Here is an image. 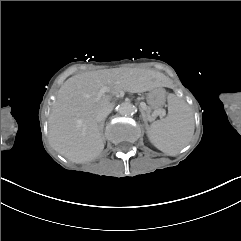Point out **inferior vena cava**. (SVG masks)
<instances>
[{
	"label": "inferior vena cava",
	"instance_id": "1",
	"mask_svg": "<svg viewBox=\"0 0 241 241\" xmlns=\"http://www.w3.org/2000/svg\"><path fill=\"white\" fill-rule=\"evenodd\" d=\"M114 107V106H113ZM113 107H109L104 109L103 111H100L96 116V121L99 125H102L105 121V118L108 116V114L112 111Z\"/></svg>",
	"mask_w": 241,
	"mask_h": 241
}]
</instances>
